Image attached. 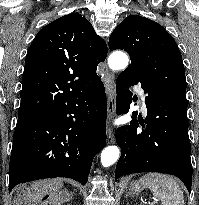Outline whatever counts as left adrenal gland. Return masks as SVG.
<instances>
[{"label":"left adrenal gland","instance_id":"a2214340","mask_svg":"<svg viewBox=\"0 0 199 205\" xmlns=\"http://www.w3.org/2000/svg\"><path fill=\"white\" fill-rule=\"evenodd\" d=\"M127 196H133L131 192H127L126 197Z\"/></svg>","mask_w":199,"mask_h":205}]
</instances>
